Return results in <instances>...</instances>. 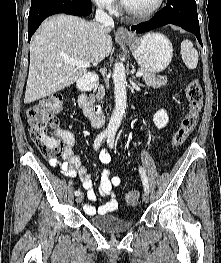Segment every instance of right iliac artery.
I'll use <instances>...</instances> for the list:
<instances>
[{
  "label": "right iliac artery",
  "mask_w": 221,
  "mask_h": 263,
  "mask_svg": "<svg viewBox=\"0 0 221 263\" xmlns=\"http://www.w3.org/2000/svg\"><path fill=\"white\" fill-rule=\"evenodd\" d=\"M107 136H108V133L106 132H102L97 136V138L94 141V145H93L95 150H97L100 147L101 143L104 141V139ZM75 195L76 196L80 195V191L79 190L75 191Z\"/></svg>",
  "instance_id": "1"
}]
</instances>
